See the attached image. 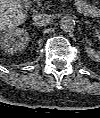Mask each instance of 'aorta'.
I'll return each instance as SVG.
<instances>
[{"label": "aorta", "instance_id": "obj_1", "mask_svg": "<svg viewBox=\"0 0 100 118\" xmlns=\"http://www.w3.org/2000/svg\"><path fill=\"white\" fill-rule=\"evenodd\" d=\"M59 25L63 31L69 32L75 27V19L70 15H65L60 19Z\"/></svg>", "mask_w": 100, "mask_h": 118}]
</instances>
